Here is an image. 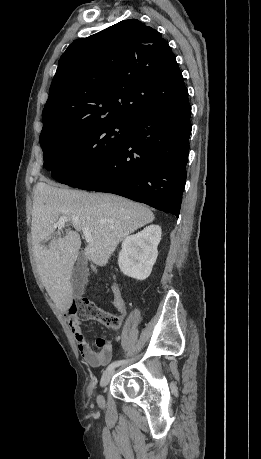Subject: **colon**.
<instances>
[{"label": "colon", "mask_w": 261, "mask_h": 459, "mask_svg": "<svg viewBox=\"0 0 261 459\" xmlns=\"http://www.w3.org/2000/svg\"><path fill=\"white\" fill-rule=\"evenodd\" d=\"M68 314L78 316L81 319H93L110 329H118L121 326L122 318L110 313L95 305L88 298H79L68 308Z\"/></svg>", "instance_id": "5ec220e1"}]
</instances>
